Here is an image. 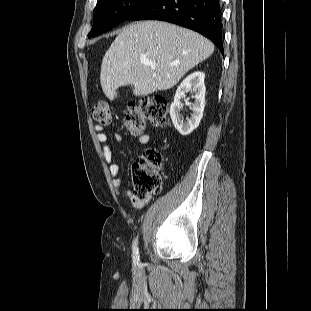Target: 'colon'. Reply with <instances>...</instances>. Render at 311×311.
Masks as SVG:
<instances>
[{
    "label": "colon",
    "mask_w": 311,
    "mask_h": 311,
    "mask_svg": "<svg viewBox=\"0 0 311 311\" xmlns=\"http://www.w3.org/2000/svg\"><path fill=\"white\" fill-rule=\"evenodd\" d=\"M168 101L162 96H145L128 105L124 113L127 129L134 134H142L147 123L156 127L167 125ZM92 118L102 125L111 122L109 104L98 100L91 109ZM164 179L162 155L157 148H147L142 157L132 167L134 194L146 196L160 191Z\"/></svg>",
    "instance_id": "colon-1"
}]
</instances>
